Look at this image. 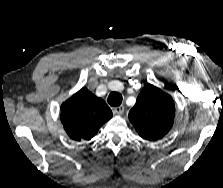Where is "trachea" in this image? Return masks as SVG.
<instances>
[{"label": "trachea", "instance_id": "trachea-1", "mask_svg": "<svg viewBox=\"0 0 223 188\" xmlns=\"http://www.w3.org/2000/svg\"><path fill=\"white\" fill-rule=\"evenodd\" d=\"M122 100V95L118 92H111L107 99L108 103L113 107L120 106Z\"/></svg>", "mask_w": 223, "mask_h": 188}]
</instances>
